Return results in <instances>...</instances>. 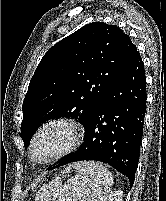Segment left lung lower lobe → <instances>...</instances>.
<instances>
[{
	"label": "left lung lower lobe",
	"instance_id": "left-lung-lower-lobe-1",
	"mask_svg": "<svg viewBox=\"0 0 166 201\" xmlns=\"http://www.w3.org/2000/svg\"><path fill=\"white\" fill-rule=\"evenodd\" d=\"M144 64L139 52L99 103L85 127L80 149L51 169L81 160L109 164L133 185L146 112Z\"/></svg>",
	"mask_w": 166,
	"mask_h": 201
}]
</instances>
